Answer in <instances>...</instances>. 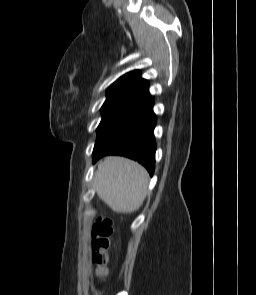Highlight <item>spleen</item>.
<instances>
[{
    "mask_svg": "<svg viewBox=\"0 0 256 295\" xmlns=\"http://www.w3.org/2000/svg\"><path fill=\"white\" fill-rule=\"evenodd\" d=\"M148 174L138 163L122 157H107L95 173L94 187L113 211L131 213L143 204Z\"/></svg>",
    "mask_w": 256,
    "mask_h": 295,
    "instance_id": "spleen-1",
    "label": "spleen"
}]
</instances>
